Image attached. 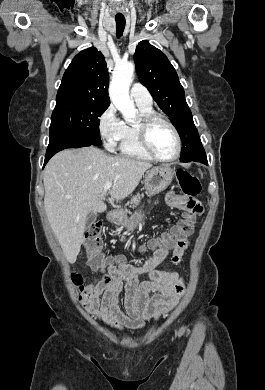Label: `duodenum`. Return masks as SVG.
Segmentation results:
<instances>
[{"mask_svg":"<svg viewBox=\"0 0 265 390\" xmlns=\"http://www.w3.org/2000/svg\"><path fill=\"white\" fill-rule=\"evenodd\" d=\"M119 219V215L118 213L114 212V211H110L108 214H107V220L109 222H116L118 221Z\"/></svg>","mask_w":265,"mask_h":390,"instance_id":"1","label":"duodenum"}]
</instances>
